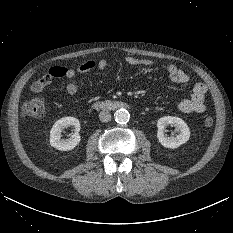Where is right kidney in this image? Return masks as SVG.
Instances as JSON below:
<instances>
[{"label": "right kidney", "instance_id": "1", "mask_svg": "<svg viewBox=\"0 0 233 233\" xmlns=\"http://www.w3.org/2000/svg\"><path fill=\"white\" fill-rule=\"evenodd\" d=\"M66 126H73L75 133L68 139H61V132ZM80 123L75 117H63L57 120L50 130V144L60 151H69L74 149L80 142L79 135Z\"/></svg>", "mask_w": 233, "mask_h": 233}]
</instances>
